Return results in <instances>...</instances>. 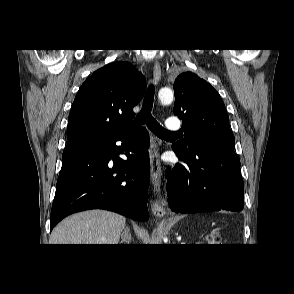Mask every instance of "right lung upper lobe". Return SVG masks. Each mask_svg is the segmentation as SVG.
Segmentation results:
<instances>
[{
  "instance_id": "right-lung-upper-lobe-1",
  "label": "right lung upper lobe",
  "mask_w": 294,
  "mask_h": 294,
  "mask_svg": "<svg viewBox=\"0 0 294 294\" xmlns=\"http://www.w3.org/2000/svg\"><path fill=\"white\" fill-rule=\"evenodd\" d=\"M144 76L128 62H113L97 71L80 87L68 119V145L126 130L132 109L143 97Z\"/></svg>"
}]
</instances>
